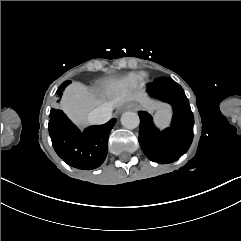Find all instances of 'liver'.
I'll return each instance as SVG.
<instances>
[{
  "label": "liver",
  "mask_w": 241,
  "mask_h": 241,
  "mask_svg": "<svg viewBox=\"0 0 241 241\" xmlns=\"http://www.w3.org/2000/svg\"><path fill=\"white\" fill-rule=\"evenodd\" d=\"M107 95L110 100L105 102L103 99L97 98L93 91L89 90L84 84L73 82L66 87L60 102V108L81 129L89 124L88 114L103 103H111L114 108H117L125 103L135 101L142 103L149 111L153 109L168 110L166 104L150 100L142 92H121L119 94L107 92Z\"/></svg>",
  "instance_id": "6515ba94"
}]
</instances>
